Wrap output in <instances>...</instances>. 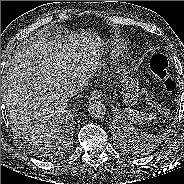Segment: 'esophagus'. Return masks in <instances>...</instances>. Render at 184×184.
<instances>
[{
  "mask_svg": "<svg viewBox=\"0 0 184 184\" xmlns=\"http://www.w3.org/2000/svg\"><path fill=\"white\" fill-rule=\"evenodd\" d=\"M101 97V93L99 91H95L90 95V99H99Z\"/></svg>",
  "mask_w": 184,
  "mask_h": 184,
  "instance_id": "esophagus-1",
  "label": "esophagus"
}]
</instances>
